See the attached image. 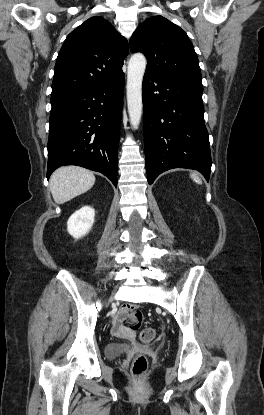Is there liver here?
I'll return each mask as SVG.
<instances>
[{
  "label": "liver",
  "mask_w": 264,
  "mask_h": 415,
  "mask_svg": "<svg viewBox=\"0 0 264 415\" xmlns=\"http://www.w3.org/2000/svg\"><path fill=\"white\" fill-rule=\"evenodd\" d=\"M93 172L78 166H64L55 170L50 177V190L53 199L63 204L93 187Z\"/></svg>",
  "instance_id": "liver-1"
}]
</instances>
